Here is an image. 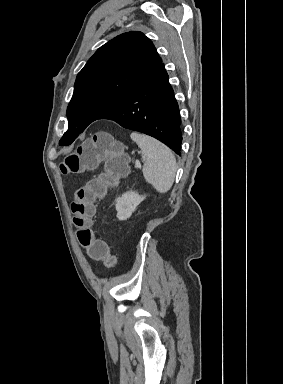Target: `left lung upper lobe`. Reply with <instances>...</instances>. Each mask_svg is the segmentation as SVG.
Listing matches in <instances>:
<instances>
[{
  "mask_svg": "<svg viewBox=\"0 0 283 384\" xmlns=\"http://www.w3.org/2000/svg\"><path fill=\"white\" fill-rule=\"evenodd\" d=\"M161 63L154 45L141 32L123 33L100 47L77 75L67 108L69 127L60 145L71 144Z\"/></svg>",
  "mask_w": 283,
  "mask_h": 384,
  "instance_id": "1",
  "label": "left lung upper lobe"
}]
</instances>
